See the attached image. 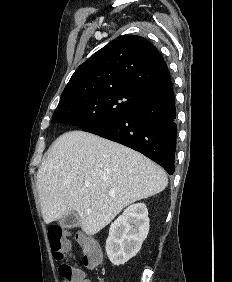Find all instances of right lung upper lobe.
<instances>
[{
  "mask_svg": "<svg viewBox=\"0 0 232 282\" xmlns=\"http://www.w3.org/2000/svg\"><path fill=\"white\" fill-rule=\"evenodd\" d=\"M172 86L166 62L159 51L143 37L124 35L76 69L60 101L110 89L132 90L148 98Z\"/></svg>",
  "mask_w": 232,
  "mask_h": 282,
  "instance_id": "1",
  "label": "right lung upper lobe"
}]
</instances>
